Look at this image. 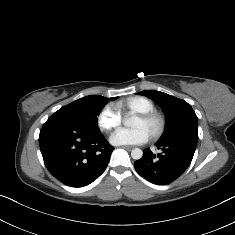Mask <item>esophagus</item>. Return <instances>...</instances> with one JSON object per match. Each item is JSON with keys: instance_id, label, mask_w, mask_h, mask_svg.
<instances>
[{"instance_id": "obj_1", "label": "esophagus", "mask_w": 235, "mask_h": 235, "mask_svg": "<svg viewBox=\"0 0 235 235\" xmlns=\"http://www.w3.org/2000/svg\"><path fill=\"white\" fill-rule=\"evenodd\" d=\"M121 148L126 149V150H131L134 147L133 146H128V145H122Z\"/></svg>"}]
</instances>
